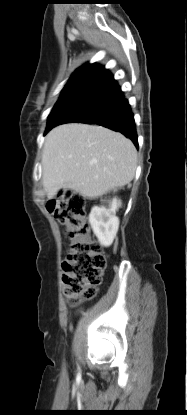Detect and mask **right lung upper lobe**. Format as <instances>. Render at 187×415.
<instances>
[{
    "label": "right lung upper lobe",
    "instance_id": "cb5924a9",
    "mask_svg": "<svg viewBox=\"0 0 187 415\" xmlns=\"http://www.w3.org/2000/svg\"><path fill=\"white\" fill-rule=\"evenodd\" d=\"M102 66L96 63L89 64L86 63L82 67L78 68L73 75L68 80L67 84L65 85L64 89L62 90V95L59 99L61 101L63 98L67 97L69 92L74 88V86L83 78L90 75L91 73L95 72L96 70L100 69ZM58 101V102H59ZM57 104V103H56ZM61 104H58L56 108H58ZM55 108V109H56ZM54 109V110H55Z\"/></svg>",
    "mask_w": 187,
    "mask_h": 415
}]
</instances>
